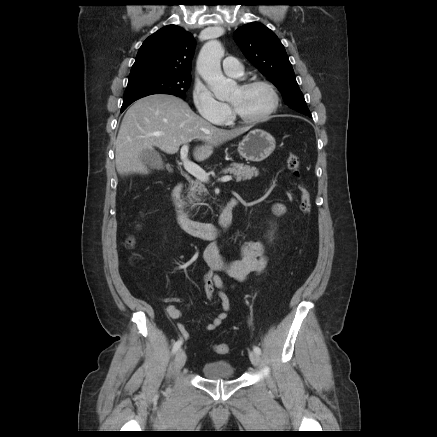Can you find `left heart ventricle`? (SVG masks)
Here are the masks:
<instances>
[{
  "label": "left heart ventricle",
  "instance_id": "obj_1",
  "mask_svg": "<svg viewBox=\"0 0 437 437\" xmlns=\"http://www.w3.org/2000/svg\"><path fill=\"white\" fill-rule=\"evenodd\" d=\"M228 101L240 115L252 118L261 115L269 108L271 95L262 86L246 89L237 87L229 96Z\"/></svg>",
  "mask_w": 437,
  "mask_h": 437
}]
</instances>
